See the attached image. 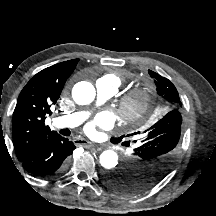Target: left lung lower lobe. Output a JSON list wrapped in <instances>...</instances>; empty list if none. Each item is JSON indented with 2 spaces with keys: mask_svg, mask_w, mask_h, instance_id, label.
Here are the masks:
<instances>
[{
  "mask_svg": "<svg viewBox=\"0 0 216 216\" xmlns=\"http://www.w3.org/2000/svg\"><path fill=\"white\" fill-rule=\"evenodd\" d=\"M122 166H124V163L122 164ZM121 166V167H122ZM122 171V170H121ZM120 171V172H121ZM119 172V173H120ZM111 174H113V173H107V174H105V176H104V178H103V181L107 184V180L110 178V176H111ZM108 185V184H107ZM109 186V185H108ZM110 187V186H109ZM121 194V193H120ZM123 195H132V194H123Z\"/></svg>",
  "mask_w": 216,
  "mask_h": 216,
  "instance_id": "1",
  "label": "left lung lower lobe"
}]
</instances>
